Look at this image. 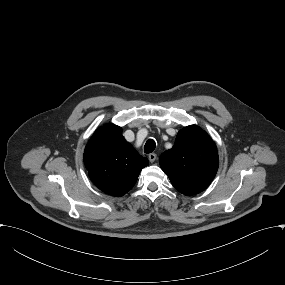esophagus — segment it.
Masks as SVG:
<instances>
[{"mask_svg": "<svg viewBox=\"0 0 285 285\" xmlns=\"http://www.w3.org/2000/svg\"><path fill=\"white\" fill-rule=\"evenodd\" d=\"M157 155L155 153L149 154L148 158L151 163H153L156 159Z\"/></svg>", "mask_w": 285, "mask_h": 285, "instance_id": "1", "label": "esophagus"}]
</instances>
